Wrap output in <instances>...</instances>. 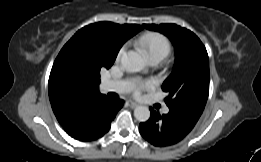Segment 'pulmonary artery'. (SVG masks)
<instances>
[{
    "mask_svg": "<svg viewBox=\"0 0 261 162\" xmlns=\"http://www.w3.org/2000/svg\"><path fill=\"white\" fill-rule=\"evenodd\" d=\"M162 59L159 57H153L150 59V64L152 66L157 65ZM134 84L131 81L125 80H107L103 82L102 89L105 92H115V93H124L128 92L133 88ZM162 112L167 114L169 108L167 106L163 107Z\"/></svg>",
    "mask_w": 261,
    "mask_h": 162,
    "instance_id": "e3ab8cb5",
    "label": "pulmonary artery"
}]
</instances>
